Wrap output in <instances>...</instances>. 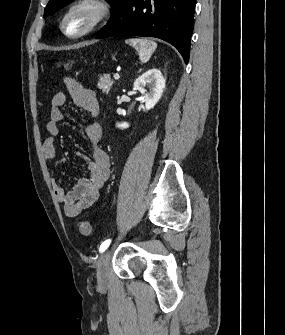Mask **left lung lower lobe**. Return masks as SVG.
<instances>
[{
    "label": "left lung lower lobe",
    "instance_id": "1",
    "mask_svg": "<svg viewBox=\"0 0 285 335\" xmlns=\"http://www.w3.org/2000/svg\"><path fill=\"white\" fill-rule=\"evenodd\" d=\"M195 0H121L97 39L119 35L156 37L172 44L188 63Z\"/></svg>",
    "mask_w": 285,
    "mask_h": 335
}]
</instances>
